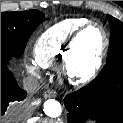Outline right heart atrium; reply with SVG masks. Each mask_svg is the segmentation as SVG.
<instances>
[{
    "mask_svg": "<svg viewBox=\"0 0 123 123\" xmlns=\"http://www.w3.org/2000/svg\"><path fill=\"white\" fill-rule=\"evenodd\" d=\"M24 65H25L26 70L30 74H32V75H38L39 74L40 67H39V65L36 62L31 61V60H26Z\"/></svg>",
    "mask_w": 123,
    "mask_h": 123,
    "instance_id": "obj_1",
    "label": "right heart atrium"
}]
</instances>
